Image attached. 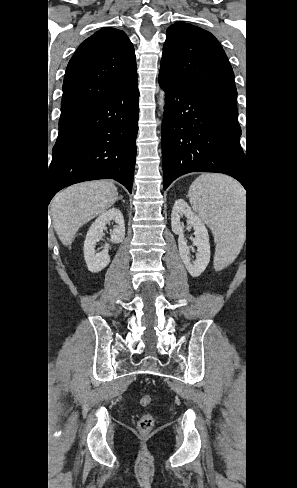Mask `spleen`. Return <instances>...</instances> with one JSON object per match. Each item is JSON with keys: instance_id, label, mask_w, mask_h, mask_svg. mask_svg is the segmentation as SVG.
<instances>
[{"instance_id": "1", "label": "spleen", "mask_w": 297, "mask_h": 488, "mask_svg": "<svg viewBox=\"0 0 297 488\" xmlns=\"http://www.w3.org/2000/svg\"><path fill=\"white\" fill-rule=\"evenodd\" d=\"M188 195L192 208L212 230L218 243L215 265H222L225 258L231 261L243 242L240 235L245 208L243 188L230 177L203 174L191 184Z\"/></svg>"}]
</instances>
